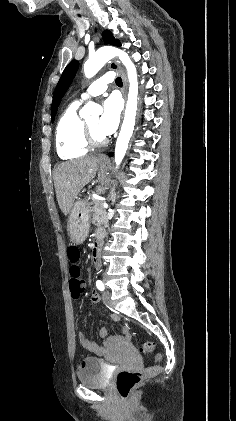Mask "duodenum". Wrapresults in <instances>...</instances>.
Instances as JSON below:
<instances>
[{
	"label": "duodenum",
	"instance_id": "1",
	"mask_svg": "<svg viewBox=\"0 0 236 421\" xmlns=\"http://www.w3.org/2000/svg\"><path fill=\"white\" fill-rule=\"evenodd\" d=\"M95 238H96V241H95L94 246H93V256H94L95 261L98 262L102 242L105 238L104 229L98 228L95 232ZM127 337H128V331L125 330L124 331V339H127ZM82 343L85 347H87L91 351L103 353V348L90 343L85 338H82Z\"/></svg>",
	"mask_w": 236,
	"mask_h": 421
}]
</instances>
